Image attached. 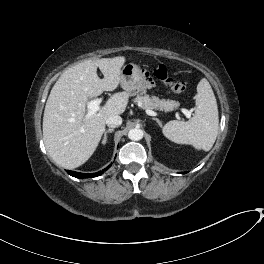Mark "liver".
Instances as JSON below:
<instances>
[{
  "mask_svg": "<svg viewBox=\"0 0 264 264\" xmlns=\"http://www.w3.org/2000/svg\"><path fill=\"white\" fill-rule=\"evenodd\" d=\"M126 58L89 59L68 68L56 81L43 116V140L55 163L66 169L84 164L96 150L106 119L122 114L129 93L113 94L98 113L87 116L88 98L115 90ZM97 68L104 75L100 79Z\"/></svg>",
  "mask_w": 264,
  "mask_h": 264,
  "instance_id": "obj_1",
  "label": "liver"
}]
</instances>
